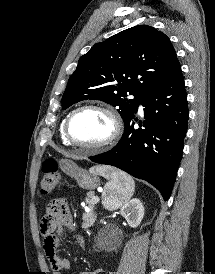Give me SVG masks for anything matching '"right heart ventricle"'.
Returning a JSON list of instances; mask_svg holds the SVG:
<instances>
[{
  "instance_id": "e07e8e85",
  "label": "right heart ventricle",
  "mask_w": 215,
  "mask_h": 274,
  "mask_svg": "<svg viewBox=\"0 0 215 274\" xmlns=\"http://www.w3.org/2000/svg\"><path fill=\"white\" fill-rule=\"evenodd\" d=\"M64 123H65V119L62 121L61 126H60L61 139L65 145H70V143L68 142V140L66 139L65 134H64Z\"/></svg>"
}]
</instances>
